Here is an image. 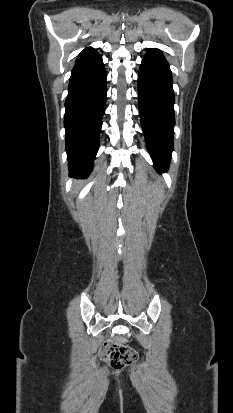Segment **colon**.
<instances>
[{"instance_id": "colon-1", "label": "colon", "mask_w": 233, "mask_h": 413, "mask_svg": "<svg viewBox=\"0 0 233 413\" xmlns=\"http://www.w3.org/2000/svg\"><path fill=\"white\" fill-rule=\"evenodd\" d=\"M100 355L105 362L115 369L130 365L137 359V352L125 345L121 339H109L100 348Z\"/></svg>"}]
</instances>
